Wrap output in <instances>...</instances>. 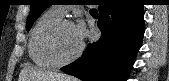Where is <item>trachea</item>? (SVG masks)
Listing matches in <instances>:
<instances>
[{
  "instance_id": "trachea-1",
  "label": "trachea",
  "mask_w": 169,
  "mask_h": 81,
  "mask_svg": "<svg viewBox=\"0 0 169 81\" xmlns=\"http://www.w3.org/2000/svg\"><path fill=\"white\" fill-rule=\"evenodd\" d=\"M91 11H96V9H91Z\"/></svg>"
}]
</instances>
